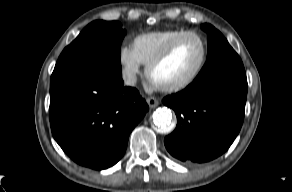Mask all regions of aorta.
<instances>
[{
  "label": "aorta",
  "instance_id": "762f6f07",
  "mask_svg": "<svg viewBox=\"0 0 292 192\" xmlns=\"http://www.w3.org/2000/svg\"><path fill=\"white\" fill-rule=\"evenodd\" d=\"M153 122L161 133H169L172 130V112L165 107L157 109L153 113Z\"/></svg>",
  "mask_w": 292,
  "mask_h": 192
}]
</instances>
